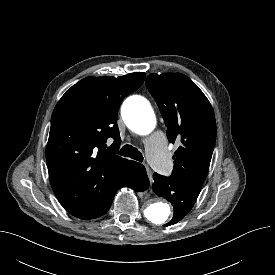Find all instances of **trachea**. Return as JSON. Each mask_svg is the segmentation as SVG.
I'll use <instances>...</instances> for the list:
<instances>
[{"label": "trachea", "instance_id": "3493384b", "mask_svg": "<svg viewBox=\"0 0 275 275\" xmlns=\"http://www.w3.org/2000/svg\"><path fill=\"white\" fill-rule=\"evenodd\" d=\"M119 155L121 156H125V157H130L134 160H137L139 162L143 161V156L142 153L140 151H138L137 148H134L131 145H124L120 151H119Z\"/></svg>", "mask_w": 275, "mask_h": 275}]
</instances>
